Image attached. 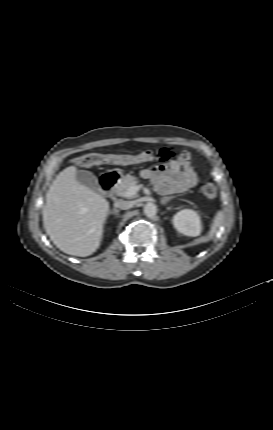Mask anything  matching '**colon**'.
Returning <instances> with one entry per match:
<instances>
[{
	"mask_svg": "<svg viewBox=\"0 0 273 430\" xmlns=\"http://www.w3.org/2000/svg\"><path fill=\"white\" fill-rule=\"evenodd\" d=\"M162 158L163 155L160 154ZM154 159L152 151L147 150L139 154L128 155V154H101V153H89L83 156L77 157L74 163L80 167H91L96 165L115 164V165H128L148 162ZM200 190L202 194L208 198L213 199L217 194L216 186L211 182H204L201 184Z\"/></svg>",
	"mask_w": 273,
	"mask_h": 430,
	"instance_id": "colon-1",
	"label": "colon"
}]
</instances>
